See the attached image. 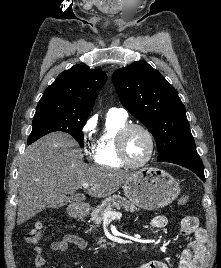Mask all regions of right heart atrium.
Listing matches in <instances>:
<instances>
[{"label": "right heart atrium", "instance_id": "d8ad5b80", "mask_svg": "<svg viewBox=\"0 0 221 268\" xmlns=\"http://www.w3.org/2000/svg\"><path fill=\"white\" fill-rule=\"evenodd\" d=\"M94 128H95L94 118L88 119L82 128V140H83L84 152L88 157H92V158H93L95 147L91 141V136L94 131Z\"/></svg>", "mask_w": 221, "mask_h": 268}]
</instances>
